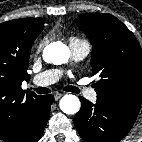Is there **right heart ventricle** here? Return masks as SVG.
I'll return each mask as SVG.
<instances>
[{
	"label": "right heart ventricle",
	"instance_id": "e07e8e85",
	"mask_svg": "<svg viewBox=\"0 0 142 142\" xmlns=\"http://www.w3.org/2000/svg\"><path fill=\"white\" fill-rule=\"evenodd\" d=\"M70 42H84V41L81 40V39L73 37V38L70 39Z\"/></svg>",
	"mask_w": 142,
	"mask_h": 142
}]
</instances>
